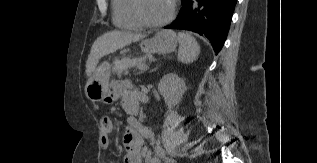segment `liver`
Segmentation results:
<instances>
[{
  "label": "liver",
  "instance_id": "obj_1",
  "mask_svg": "<svg viewBox=\"0 0 317 163\" xmlns=\"http://www.w3.org/2000/svg\"><path fill=\"white\" fill-rule=\"evenodd\" d=\"M142 34H135L125 31H110L98 37L91 47L90 54L86 62V75L90 77L96 70L99 60L110 53H113L133 42L143 39Z\"/></svg>",
  "mask_w": 317,
  "mask_h": 163
}]
</instances>
